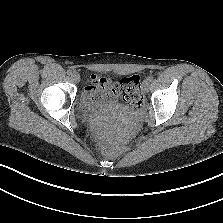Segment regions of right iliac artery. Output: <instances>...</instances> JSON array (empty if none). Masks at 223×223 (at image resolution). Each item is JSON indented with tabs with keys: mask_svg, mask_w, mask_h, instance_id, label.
<instances>
[{
	"mask_svg": "<svg viewBox=\"0 0 223 223\" xmlns=\"http://www.w3.org/2000/svg\"><path fill=\"white\" fill-rule=\"evenodd\" d=\"M68 75H72V70H67Z\"/></svg>",
	"mask_w": 223,
	"mask_h": 223,
	"instance_id": "82829eb1",
	"label": "right iliac artery"
}]
</instances>
